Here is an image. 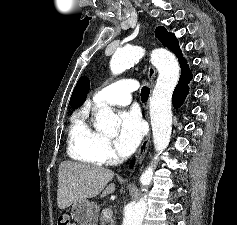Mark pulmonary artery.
<instances>
[{"label":"pulmonary artery","mask_w":237,"mask_h":225,"mask_svg":"<svg viewBox=\"0 0 237 225\" xmlns=\"http://www.w3.org/2000/svg\"><path fill=\"white\" fill-rule=\"evenodd\" d=\"M137 90L133 79H123L113 82L96 92L93 102L96 105L126 106L131 102V93Z\"/></svg>","instance_id":"e3ab8cb5"}]
</instances>
